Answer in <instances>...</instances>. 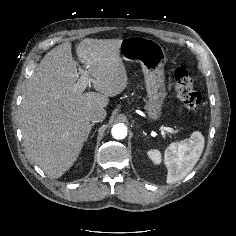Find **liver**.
<instances>
[{
	"label": "liver",
	"mask_w": 236,
	"mask_h": 236,
	"mask_svg": "<svg viewBox=\"0 0 236 236\" xmlns=\"http://www.w3.org/2000/svg\"><path fill=\"white\" fill-rule=\"evenodd\" d=\"M121 41H81L76 53L84 72H78L71 44H60L30 77L20 108L21 131L30 158L50 177L60 178L77 160L89 131L90 110L106 107L109 97L126 88ZM82 77L97 92H80Z\"/></svg>",
	"instance_id": "liver-1"
}]
</instances>
